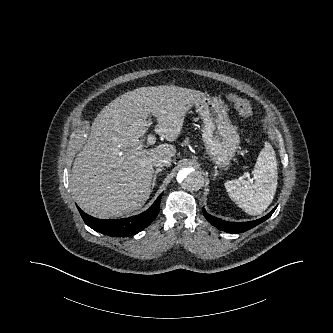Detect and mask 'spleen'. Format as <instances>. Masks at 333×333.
<instances>
[{"label": "spleen", "instance_id": "spleen-1", "mask_svg": "<svg viewBox=\"0 0 333 333\" xmlns=\"http://www.w3.org/2000/svg\"><path fill=\"white\" fill-rule=\"evenodd\" d=\"M254 183L237 179L225 183L230 198L249 215H259L272 203L277 189V161L269 142L259 153L252 171Z\"/></svg>", "mask_w": 333, "mask_h": 333}]
</instances>
